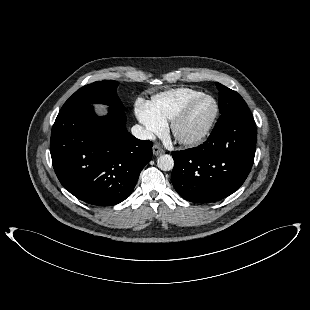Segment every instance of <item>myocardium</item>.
Segmentation results:
<instances>
[{
  "label": "myocardium",
  "mask_w": 310,
  "mask_h": 310,
  "mask_svg": "<svg viewBox=\"0 0 310 310\" xmlns=\"http://www.w3.org/2000/svg\"><path fill=\"white\" fill-rule=\"evenodd\" d=\"M204 99H209L213 102L214 110L211 117L209 118L205 126L197 134L188 137L181 135V133L179 132L180 125L186 119L193 106L199 101ZM218 115H219V105L217 100L213 96L208 94H201L199 96H196L191 100H189L171 120L170 124L171 134L178 143L184 146L189 147L197 146L201 144L208 137V135L210 134L216 123Z\"/></svg>",
  "instance_id": "myocardium-1"
}]
</instances>
